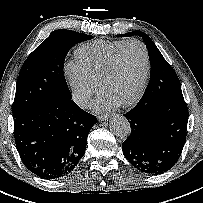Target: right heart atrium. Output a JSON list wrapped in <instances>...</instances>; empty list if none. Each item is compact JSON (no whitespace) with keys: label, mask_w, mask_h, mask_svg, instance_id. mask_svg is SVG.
I'll return each instance as SVG.
<instances>
[{"label":"right heart atrium","mask_w":203,"mask_h":203,"mask_svg":"<svg viewBox=\"0 0 203 203\" xmlns=\"http://www.w3.org/2000/svg\"><path fill=\"white\" fill-rule=\"evenodd\" d=\"M64 75L76 103L87 107L97 92L98 83L77 62H67Z\"/></svg>","instance_id":"obj_1"}]
</instances>
